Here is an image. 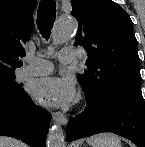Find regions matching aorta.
<instances>
[{
  "label": "aorta",
  "mask_w": 145,
  "mask_h": 147,
  "mask_svg": "<svg viewBox=\"0 0 145 147\" xmlns=\"http://www.w3.org/2000/svg\"><path fill=\"white\" fill-rule=\"evenodd\" d=\"M77 30V23L71 19H60L55 27L53 40L60 44L68 41ZM47 147H65V137L60 125H53L48 133Z\"/></svg>",
  "instance_id": "obj_1"
}]
</instances>
